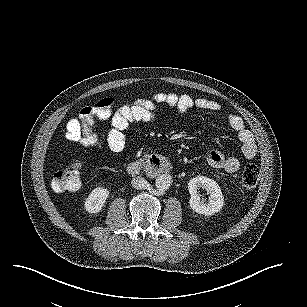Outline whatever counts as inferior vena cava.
I'll list each match as a JSON object with an SVG mask.
<instances>
[{
	"instance_id": "602c4592",
	"label": "inferior vena cava",
	"mask_w": 307,
	"mask_h": 307,
	"mask_svg": "<svg viewBox=\"0 0 307 307\" xmlns=\"http://www.w3.org/2000/svg\"><path fill=\"white\" fill-rule=\"evenodd\" d=\"M131 185L135 189H145L148 186V181L141 176H136L131 180Z\"/></svg>"
}]
</instances>
